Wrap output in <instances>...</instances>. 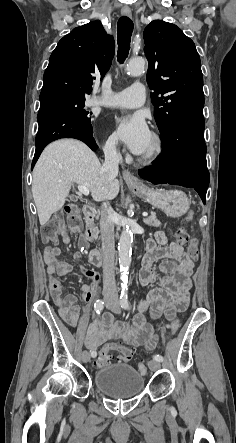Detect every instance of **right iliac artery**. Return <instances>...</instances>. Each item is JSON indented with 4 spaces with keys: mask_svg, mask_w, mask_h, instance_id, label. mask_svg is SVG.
<instances>
[{
    "mask_svg": "<svg viewBox=\"0 0 236 443\" xmlns=\"http://www.w3.org/2000/svg\"><path fill=\"white\" fill-rule=\"evenodd\" d=\"M103 308H104V302L102 300H97L94 304V309H95L96 313L100 314V312L103 310ZM91 356L95 357L96 352L92 351Z\"/></svg>",
    "mask_w": 236,
    "mask_h": 443,
    "instance_id": "right-iliac-artery-1",
    "label": "right iliac artery"
}]
</instances>
